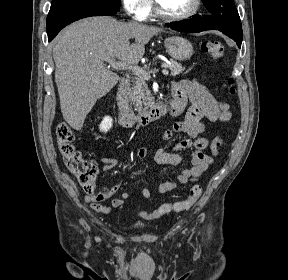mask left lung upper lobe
<instances>
[{"label": "left lung upper lobe", "instance_id": "obj_1", "mask_svg": "<svg viewBox=\"0 0 288 280\" xmlns=\"http://www.w3.org/2000/svg\"><path fill=\"white\" fill-rule=\"evenodd\" d=\"M203 4L212 14L206 16L211 24L230 38L242 41V25L233 0H203Z\"/></svg>", "mask_w": 288, "mask_h": 280}]
</instances>
